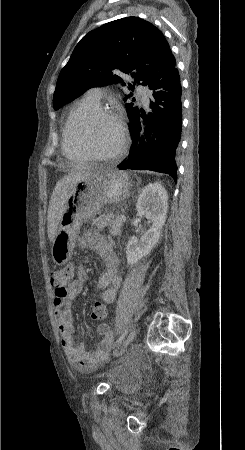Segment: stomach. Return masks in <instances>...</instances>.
Wrapping results in <instances>:
<instances>
[{"mask_svg": "<svg viewBox=\"0 0 245 450\" xmlns=\"http://www.w3.org/2000/svg\"><path fill=\"white\" fill-rule=\"evenodd\" d=\"M130 188L131 181L126 173L101 168L75 183L53 240L51 255L54 263L64 265L71 259L84 220L97 214L105 205L121 202Z\"/></svg>", "mask_w": 245, "mask_h": 450, "instance_id": "0dacf381", "label": "stomach"}]
</instances>
